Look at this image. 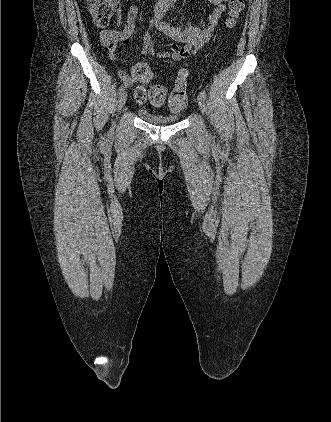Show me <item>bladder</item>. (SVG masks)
I'll list each match as a JSON object with an SVG mask.
<instances>
[{"label":"bladder","mask_w":331,"mask_h":422,"mask_svg":"<svg viewBox=\"0 0 331 422\" xmlns=\"http://www.w3.org/2000/svg\"><path fill=\"white\" fill-rule=\"evenodd\" d=\"M137 113L142 119L154 125L174 124L180 120V117L178 115L152 112L145 108L138 109Z\"/></svg>","instance_id":"1"}]
</instances>
